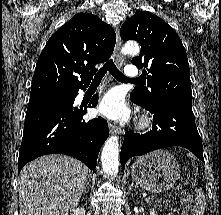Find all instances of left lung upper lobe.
Returning a JSON list of instances; mask_svg holds the SVG:
<instances>
[{
  "instance_id": "left-lung-upper-lobe-1",
  "label": "left lung upper lobe",
  "mask_w": 221,
  "mask_h": 215,
  "mask_svg": "<svg viewBox=\"0 0 221 215\" xmlns=\"http://www.w3.org/2000/svg\"><path fill=\"white\" fill-rule=\"evenodd\" d=\"M123 40H136L141 53L132 64L143 70L145 86L135 88L131 98L141 106H177L192 109L190 69L185 48L172 27L158 16L141 11L121 27Z\"/></svg>"
}]
</instances>
